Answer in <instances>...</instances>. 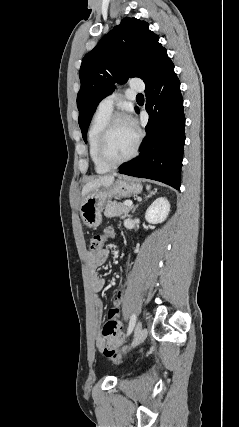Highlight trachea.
I'll return each instance as SVG.
<instances>
[{
  "label": "trachea",
  "mask_w": 239,
  "mask_h": 427,
  "mask_svg": "<svg viewBox=\"0 0 239 427\" xmlns=\"http://www.w3.org/2000/svg\"><path fill=\"white\" fill-rule=\"evenodd\" d=\"M137 97H143V95L142 94H138Z\"/></svg>",
  "instance_id": "3493384b"
}]
</instances>
